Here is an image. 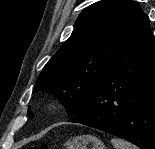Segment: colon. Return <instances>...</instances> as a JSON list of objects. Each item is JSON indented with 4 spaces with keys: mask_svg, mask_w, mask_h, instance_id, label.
<instances>
[{
    "mask_svg": "<svg viewBox=\"0 0 155 149\" xmlns=\"http://www.w3.org/2000/svg\"><path fill=\"white\" fill-rule=\"evenodd\" d=\"M30 149H49L48 144L46 143H39V144H33Z\"/></svg>",
    "mask_w": 155,
    "mask_h": 149,
    "instance_id": "5ec220e1",
    "label": "colon"
}]
</instances>
